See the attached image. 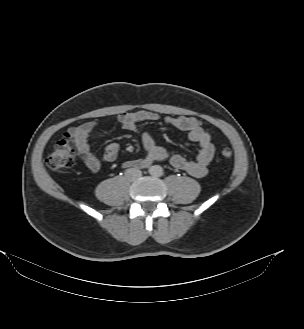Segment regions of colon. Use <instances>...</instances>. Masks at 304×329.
<instances>
[{
  "label": "colon",
  "instance_id": "5ec220e1",
  "mask_svg": "<svg viewBox=\"0 0 304 329\" xmlns=\"http://www.w3.org/2000/svg\"><path fill=\"white\" fill-rule=\"evenodd\" d=\"M219 154L223 159H230L232 150L228 145H221ZM76 151L74 148L73 136L66 134L55 145L48 156L47 166L53 171H59L71 167L74 164Z\"/></svg>",
  "mask_w": 304,
  "mask_h": 329
}]
</instances>
